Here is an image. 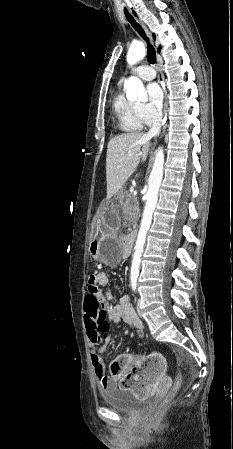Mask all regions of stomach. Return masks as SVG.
Returning <instances> with one entry per match:
<instances>
[{
	"mask_svg": "<svg viewBox=\"0 0 233 449\" xmlns=\"http://www.w3.org/2000/svg\"><path fill=\"white\" fill-rule=\"evenodd\" d=\"M100 208L106 212L93 214V219L97 221L99 227L96 231L99 238L90 242L89 252L94 259L114 267L121 258V244L113 233V227H117L118 221L121 220V213L114 210H120L121 203L120 201H101Z\"/></svg>",
	"mask_w": 233,
	"mask_h": 449,
	"instance_id": "stomach-1",
	"label": "stomach"
}]
</instances>
